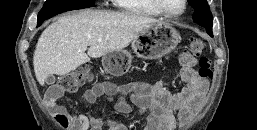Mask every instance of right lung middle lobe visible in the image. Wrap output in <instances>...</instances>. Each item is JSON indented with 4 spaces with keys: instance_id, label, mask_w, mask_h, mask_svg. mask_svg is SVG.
I'll use <instances>...</instances> for the list:
<instances>
[{
    "instance_id": "right-lung-middle-lobe-1",
    "label": "right lung middle lobe",
    "mask_w": 257,
    "mask_h": 130,
    "mask_svg": "<svg viewBox=\"0 0 257 130\" xmlns=\"http://www.w3.org/2000/svg\"><path fill=\"white\" fill-rule=\"evenodd\" d=\"M93 3L94 0H46L38 14V25L58 13L74 8L91 7Z\"/></svg>"
}]
</instances>
